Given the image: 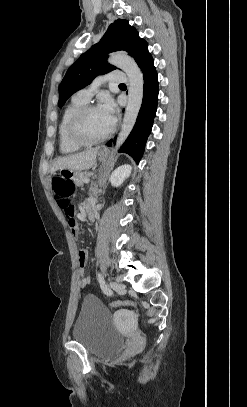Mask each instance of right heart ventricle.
<instances>
[{"instance_id": "e07e8e85", "label": "right heart ventricle", "mask_w": 247, "mask_h": 407, "mask_svg": "<svg viewBox=\"0 0 247 407\" xmlns=\"http://www.w3.org/2000/svg\"><path fill=\"white\" fill-rule=\"evenodd\" d=\"M85 104L86 102L73 97L62 113L58 125V140L60 152L63 154L75 153L83 147L70 139L68 134V124L72 115Z\"/></svg>"}]
</instances>
